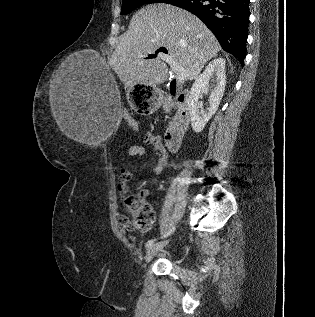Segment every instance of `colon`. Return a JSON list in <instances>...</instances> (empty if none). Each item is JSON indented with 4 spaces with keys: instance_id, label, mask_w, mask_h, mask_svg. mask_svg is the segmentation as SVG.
<instances>
[{
    "instance_id": "obj_1",
    "label": "colon",
    "mask_w": 315,
    "mask_h": 317,
    "mask_svg": "<svg viewBox=\"0 0 315 317\" xmlns=\"http://www.w3.org/2000/svg\"><path fill=\"white\" fill-rule=\"evenodd\" d=\"M125 119L134 130H138V122L133 117L127 116ZM124 208L131 217V220H126L133 228L145 230L155 221L154 210L141 192L127 195L124 199Z\"/></svg>"
}]
</instances>
